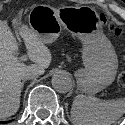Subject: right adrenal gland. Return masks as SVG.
I'll return each mask as SVG.
<instances>
[{
	"label": "right adrenal gland",
	"mask_w": 125,
	"mask_h": 125,
	"mask_svg": "<svg viewBox=\"0 0 125 125\" xmlns=\"http://www.w3.org/2000/svg\"><path fill=\"white\" fill-rule=\"evenodd\" d=\"M24 83H25V80L21 83V89H23Z\"/></svg>",
	"instance_id": "right-adrenal-gland-1"
}]
</instances>
